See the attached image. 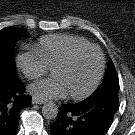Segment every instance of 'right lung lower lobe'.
Instances as JSON below:
<instances>
[{
    "instance_id": "1",
    "label": "right lung lower lobe",
    "mask_w": 135,
    "mask_h": 135,
    "mask_svg": "<svg viewBox=\"0 0 135 135\" xmlns=\"http://www.w3.org/2000/svg\"><path fill=\"white\" fill-rule=\"evenodd\" d=\"M22 81L0 82V135H15L20 111L31 105V96L24 95Z\"/></svg>"
}]
</instances>
